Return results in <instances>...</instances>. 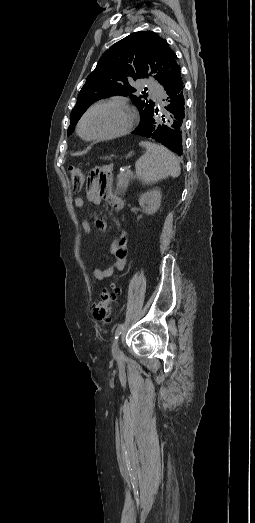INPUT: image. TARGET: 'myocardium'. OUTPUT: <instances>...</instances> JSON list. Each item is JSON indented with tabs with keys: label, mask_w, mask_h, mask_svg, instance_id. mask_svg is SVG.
Returning a JSON list of instances; mask_svg holds the SVG:
<instances>
[{
	"label": "myocardium",
	"mask_w": 255,
	"mask_h": 523,
	"mask_svg": "<svg viewBox=\"0 0 255 523\" xmlns=\"http://www.w3.org/2000/svg\"><path fill=\"white\" fill-rule=\"evenodd\" d=\"M98 107H115V108L126 109V110H128L130 112V115H131L130 116V121L127 124V126L120 132H117V133H114V134H111V135H107V136H103V137L87 138L82 133L83 122H84L86 116L93 109L98 108ZM138 122H139V114H138L137 109L133 105L128 104L126 102H115V101L99 102V103H96V104L90 106L81 115V117H80V119L78 121V125H77V132H78L79 136L83 140H85V141H88V142H103V141H109V140L118 139V138H121V137H124V136L130 134L134 130V128L136 127Z\"/></svg>",
	"instance_id": "1"
}]
</instances>
